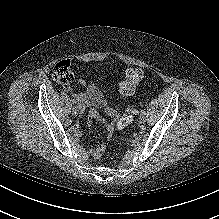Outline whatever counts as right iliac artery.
<instances>
[{
  "label": "right iliac artery",
  "mask_w": 219,
  "mask_h": 219,
  "mask_svg": "<svg viewBox=\"0 0 219 219\" xmlns=\"http://www.w3.org/2000/svg\"><path fill=\"white\" fill-rule=\"evenodd\" d=\"M71 101L73 104L77 102L76 99H74V98Z\"/></svg>",
  "instance_id": "obj_1"
}]
</instances>
